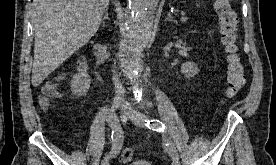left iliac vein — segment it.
Instances as JSON below:
<instances>
[{"label":"left iliac vein","instance_id":"4c4485c4","mask_svg":"<svg viewBox=\"0 0 276 165\" xmlns=\"http://www.w3.org/2000/svg\"><path fill=\"white\" fill-rule=\"evenodd\" d=\"M122 114L126 115L128 118H130V120L138 127L140 128H145V122L144 120L138 116L137 114H135L134 112H132L131 110L127 111L126 108L122 109ZM172 165H180L179 159H173L172 161Z\"/></svg>","mask_w":276,"mask_h":165}]
</instances>
